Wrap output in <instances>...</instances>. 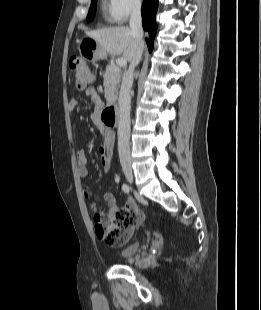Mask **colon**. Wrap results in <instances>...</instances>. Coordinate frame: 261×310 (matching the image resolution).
<instances>
[{
	"mask_svg": "<svg viewBox=\"0 0 261 310\" xmlns=\"http://www.w3.org/2000/svg\"><path fill=\"white\" fill-rule=\"evenodd\" d=\"M69 65L77 89H85L95 81V71L83 58L74 57ZM94 220L98 238L109 246L119 247L128 241L134 227L142 226L144 213L136 200H127L122 210L115 214L96 213Z\"/></svg>",
	"mask_w": 261,
	"mask_h": 310,
	"instance_id": "1",
	"label": "colon"
}]
</instances>
